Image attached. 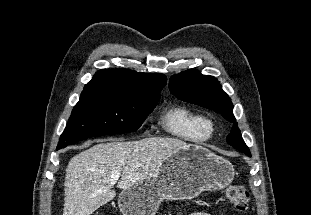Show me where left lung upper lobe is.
Returning a JSON list of instances; mask_svg holds the SVG:
<instances>
[{
	"label": "left lung upper lobe",
	"mask_w": 311,
	"mask_h": 215,
	"mask_svg": "<svg viewBox=\"0 0 311 215\" xmlns=\"http://www.w3.org/2000/svg\"><path fill=\"white\" fill-rule=\"evenodd\" d=\"M169 89L178 99L219 112L226 120L234 123L226 138L227 143L251 156L233 115L231 99L215 77L202 75L194 69L186 70L171 77Z\"/></svg>",
	"instance_id": "5c2ea615"
}]
</instances>
